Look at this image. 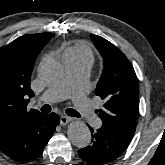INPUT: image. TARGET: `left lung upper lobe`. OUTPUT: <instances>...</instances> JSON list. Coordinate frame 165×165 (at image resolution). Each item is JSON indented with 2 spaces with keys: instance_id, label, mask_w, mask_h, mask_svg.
Segmentation results:
<instances>
[{
  "instance_id": "5c2ea615",
  "label": "left lung upper lobe",
  "mask_w": 165,
  "mask_h": 165,
  "mask_svg": "<svg viewBox=\"0 0 165 165\" xmlns=\"http://www.w3.org/2000/svg\"><path fill=\"white\" fill-rule=\"evenodd\" d=\"M104 59L103 73L95 94L104 100L97 111L103 124L133 137L139 110V88L134 68L127 57L106 39L90 35Z\"/></svg>"
}]
</instances>
